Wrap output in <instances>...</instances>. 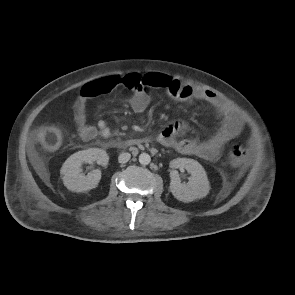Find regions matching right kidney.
<instances>
[{
	"label": "right kidney",
	"mask_w": 295,
	"mask_h": 295,
	"mask_svg": "<svg viewBox=\"0 0 295 295\" xmlns=\"http://www.w3.org/2000/svg\"><path fill=\"white\" fill-rule=\"evenodd\" d=\"M109 157L107 153L98 148H89L87 150L78 151L72 154L63 164L61 174L63 175V183L73 192H85L96 188L100 179L101 172L96 169L84 176L81 172L83 163L97 162L101 165L108 163Z\"/></svg>",
	"instance_id": "obj_1"
}]
</instances>
